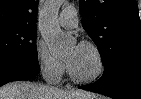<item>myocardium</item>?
<instances>
[{"mask_svg":"<svg viewBox=\"0 0 141 99\" xmlns=\"http://www.w3.org/2000/svg\"><path fill=\"white\" fill-rule=\"evenodd\" d=\"M79 46L86 47L93 52V54L95 55L96 61H97V70L91 76L79 77L72 71L69 63L67 62L68 74H69L70 78L72 79V81H74L75 83L89 84V83L95 82L103 75L104 70H105V61H104V57L102 55V52L98 48L97 45H95L94 43L89 42V41H82Z\"/></svg>","mask_w":141,"mask_h":99,"instance_id":"f54148a6","label":"myocardium"}]
</instances>
